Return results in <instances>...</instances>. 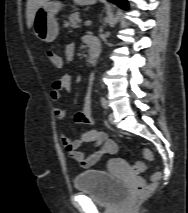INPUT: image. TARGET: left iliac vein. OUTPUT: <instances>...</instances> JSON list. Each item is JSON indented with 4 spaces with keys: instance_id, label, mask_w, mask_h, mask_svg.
<instances>
[{
    "instance_id": "1",
    "label": "left iliac vein",
    "mask_w": 188,
    "mask_h": 213,
    "mask_svg": "<svg viewBox=\"0 0 188 213\" xmlns=\"http://www.w3.org/2000/svg\"><path fill=\"white\" fill-rule=\"evenodd\" d=\"M108 119H109V122L111 123V124H114V114L113 113H110L109 114V116H108Z\"/></svg>"
}]
</instances>
